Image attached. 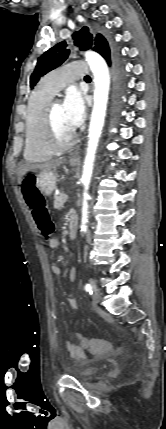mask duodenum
<instances>
[{
	"label": "duodenum",
	"mask_w": 166,
	"mask_h": 429,
	"mask_svg": "<svg viewBox=\"0 0 166 429\" xmlns=\"http://www.w3.org/2000/svg\"><path fill=\"white\" fill-rule=\"evenodd\" d=\"M78 218L75 213H70L69 215V236L74 238L77 232Z\"/></svg>",
	"instance_id": "1"
}]
</instances>
